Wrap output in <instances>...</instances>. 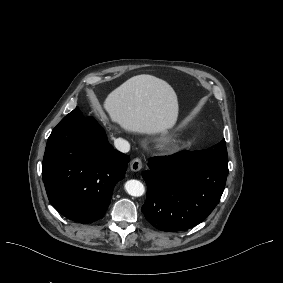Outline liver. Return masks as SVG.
<instances>
[{
	"label": "liver",
	"instance_id": "1",
	"mask_svg": "<svg viewBox=\"0 0 283 283\" xmlns=\"http://www.w3.org/2000/svg\"><path fill=\"white\" fill-rule=\"evenodd\" d=\"M111 120L129 132L156 134L173 128L178 100L164 80L142 74L131 77L113 90L104 102Z\"/></svg>",
	"mask_w": 283,
	"mask_h": 283
}]
</instances>
